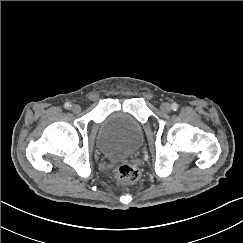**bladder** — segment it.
<instances>
[{"instance_id":"1","label":"bladder","mask_w":243,"mask_h":243,"mask_svg":"<svg viewBox=\"0 0 243 243\" xmlns=\"http://www.w3.org/2000/svg\"><path fill=\"white\" fill-rule=\"evenodd\" d=\"M143 143L142 125L128 113L112 112L100 123L96 148L109 159H124L140 149Z\"/></svg>"}]
</instances>
